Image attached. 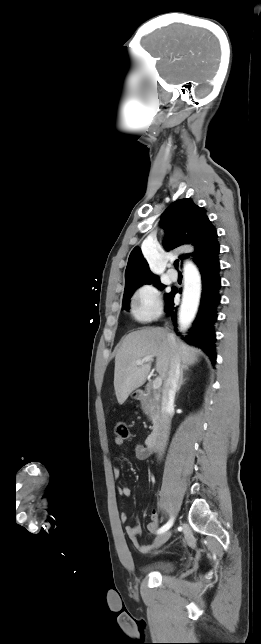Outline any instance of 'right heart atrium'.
<instances>
[{
    "mask_svg": "<svg viewBox=\"0 0 261 644\" xmlns=\"http://www.w3.org/2000/svg\"><path fill=\"white\" fill-rule=\"evenodd\" d=\"M132 310L139 321H151L162 312L160 293L153 285L141 286L133 295Z\"/></svg>",
    "mask_w": 261,
    "mask_h": 644,
    "instance_id": "1",
    "label": "right heart atrium"
}]
</instances>
